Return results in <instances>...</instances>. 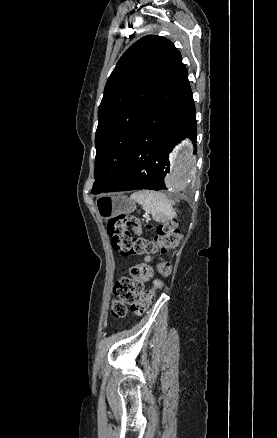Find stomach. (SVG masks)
I'll return each instance as SVG.
<instances>
[{
    "instance_id": "1",
    "label": "stomach",
    "mask_w": 277,
    "mask_h": 438,
    "mask_svg": "<svg viewBox=\"0 0 277 438\" xmlns=\"http://www.w3.org/2000/svg\"><path fill=\"white\" fill-rule=\"evenodd\" d=\"M135 208V202L126 196H103L96 201L97 212L104 220L132 213Z\"/></svg>"
}]
</instances>
